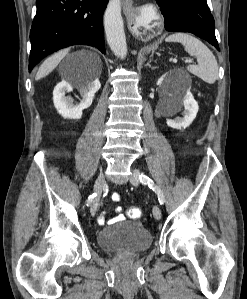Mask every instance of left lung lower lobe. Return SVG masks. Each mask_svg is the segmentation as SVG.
<instances>
[{"instance_id": "1", "label": "left lung lower lobe", "mask_w": 247, "mask_h": 299, "mask_svg": "<svg viewBox=\"0 0 247 299\" xmlns=\"http://www.w3.org/2000/svg\"><path fill=\"white\" fill-rule=\"evenodd\" d=\"M167 31L190 32L208 41L219 51L214 18L206 0H157Z\"/></svg>"}]
</instances>
